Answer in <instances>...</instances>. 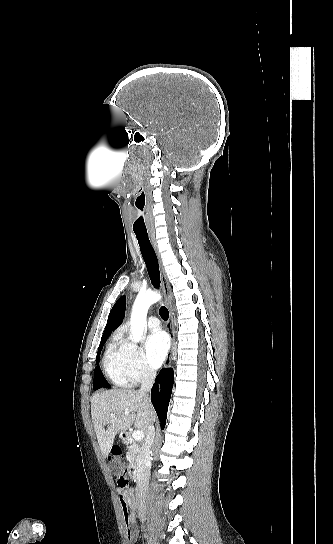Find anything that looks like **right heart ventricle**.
Returning <instances> with one entry per match:
<instances>
[{
	"label": "right heart ventricle",
	"mask_w": 333,
	"mask_h": 544,
	"mask_svg": "<svg viewBox=\"0 0 333 544\" xmlns=\"http://www.w3.org/2000/svg\"><path fill=\"white\" fill-rule=\"evenodd\" d=\"M103 368L105 376L114 384L127 386L129 382L126 379L120 353V340L117 336L112 338L107 347L104 358Z\"/></svg>",
	"instance_id": "e07e8e85"
}]
</instances>
